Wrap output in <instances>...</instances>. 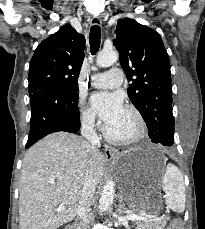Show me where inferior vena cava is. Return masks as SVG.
Listing matches in <instances>:
<instances>
[{"mask_svg":"<svg viewBox=\"0 0 205 229\" xmlns=\"http://www.w3.org/2000/svg\"><path fill=\"white\" fill-rule=\"evenodd\" d=\"M95 117L94 115L87 116L83 119L81 134L87 139L93 150H98L100 144L99 137L95 130ZM96 183L92 175L90 161L87 163L85 169V180L81 191V198L79 201L78 214L81 218L82 229H90L89 223L91 216L89 214L90 206L93 202Z\"/></svg>","mask_w":205,"mask_h":229,"instance_id":"obj_1","label":"inferior vena cava"}]
</instances>
